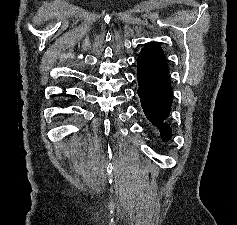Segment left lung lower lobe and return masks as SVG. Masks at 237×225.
<instances>
[{
	"mask_svg": "<svg viewBox=\"0 0 237 225\" xmlns=\"http://www.w3.org/2000/svg\"><path fill=\"white\" fill-rule=\"evenodd\" d=\"M138 95L146 117L155 125L163 141L172 137L171 128L165 122L170 115L172 89L169 82H153L138 76Z\"/></svg>",
	"mask_w": 237,
	"mask_h": 225,
	"instance_id": "0a47b994",
	"label": "left lung lower lobe"
}]
</instances>
